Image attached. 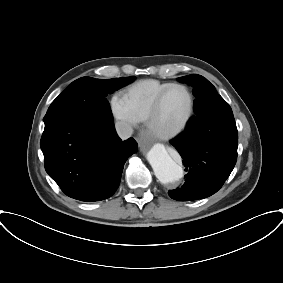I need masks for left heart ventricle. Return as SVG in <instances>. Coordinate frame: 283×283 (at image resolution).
Wrapping results in <instances>:
<instances>
[{"label":"left heart ventricle","mask_w":283,"mask_h":283,"mask_svg":"<svg viewBox=\"0 0 283 283\" xmlns=\"http://www.w3.org/2000/svg\"><path fill=\"white\" fill-rule=\"evenodd\" d=\"M188 93L182 88L170 90L164 97L155 127L160 131H170L179 126L189 109Z\"/></svg>","instance_id":"b2bd125f"}]
</instances>
